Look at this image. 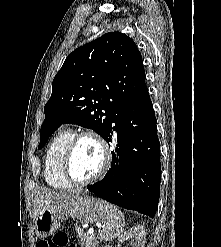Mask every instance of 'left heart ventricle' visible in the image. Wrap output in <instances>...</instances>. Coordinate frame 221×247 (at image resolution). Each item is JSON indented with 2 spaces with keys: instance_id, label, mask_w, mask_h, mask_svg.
<instances>
[{
  "instance_id": "left-heart-ventricle-1",
  "label": "left heart ventricle",
  "mask_w": 221,
  "mask_h": 247,
  "mask_svg": "<svg viewBox=\"0 0 221 247\" xmlns=\"http://www.w3.org/2000/svg\"><path fill=\"white\" fill-rule=\"evenodd\" d=\"M102 165V153L92 139H82L76 146L71 160V171L76 179L84 180L96 174Z\"/></svg>"
}]
</instances>
